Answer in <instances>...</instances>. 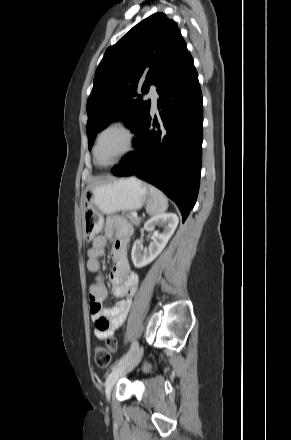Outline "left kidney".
<instances>
[{
    "mask_svg": "<svg viewBox=\"0 0 291 440\" xmlns=\"http://www.w3.org/2000/svg\"><path fill=\"white\" fill-rule=\"evenodd\" d=\"M178 222L179 219L175 213L157 214L145 222L144 229L146 231H154L156 225H161L163 232L154 231L153 241L148 248H144L140 240L134 242L131 257L136 268L150 264L162 252L175 232Z\"/></svg>",
    "mask_w": 291,
    "mask_h": 440,
    "instance_id": "left-kidney-1",
    "label": "left kidney"
}]
</instances>
